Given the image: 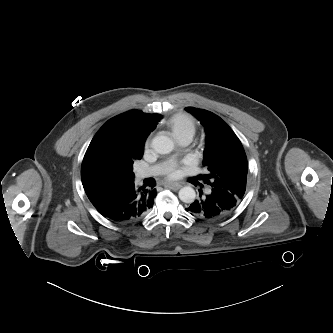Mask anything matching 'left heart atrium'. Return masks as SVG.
<instances>
[{"mask_svg":"<svg viewBox=\"0 0 333 333\" xmlns=\"http://www.w3.org/2000/svg\"><path fill=\"white\" fill-rule=\"evenodd\" d=\"M169 178H176L180 175V170L177 167H172L167 172Z\"/></svg>","mask_w":333,"mask_h":333,"instance_id":"left-heart-atrium-1","label":"left heart atrium"}]
</instances>
